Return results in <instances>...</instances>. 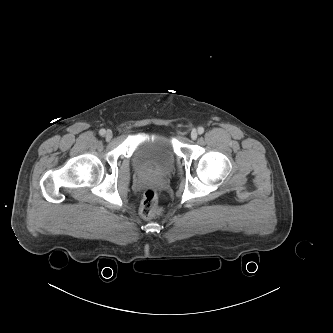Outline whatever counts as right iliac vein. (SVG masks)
Segmentation results:
<instances>
[{"mask_svg":"<svg viewBox=\"0 0 333 333\" xmlns=\"http://www.w3.org/2000/svg\"><path fill=\"white\" fill-rule=\"evenodd\" d=\"M113 137V134H112V131L108 130L106 133H105V138L107 141H110Z\"/></svg>","mask_w":333,"mask_h":333,"instance_id":"right-iliac-vein-1","label":"right iliac vein"}]
</instances>
